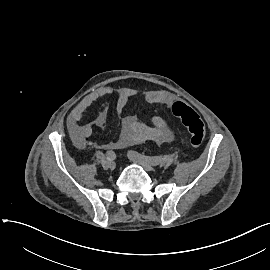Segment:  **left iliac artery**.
<instances>
[{"label":"left iliac artery","mask_w":270,"mask_h":270,"mask_svg":"<svg viewBox=\"0 0 270 270\" xmlns=\"http://www.w3.org/2000/svg\"><path fill=\"white\" fill-rule=\"evenodd\" d=\"M130 154H132L134 157L139 159H144L148 162H150L152 165H159L162 162V158L160 156H145L142 155L136 151H129Z\"/></svg>","instance_id":"left-iliac-artery-1"}]
</instances>
